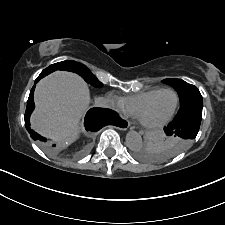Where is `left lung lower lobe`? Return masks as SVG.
<instances>
[{
    "mask_svg": "<svg viewBox=\"0 0 225 225\" xmlns=\"http://www.w3.org/2000/svg\"><path fill=\"white\" fill-rule=\"evenodd\" d=\"M202 119V109H192L180 115L164 128L167 136H178L185 140H193L199 131ZM185 144L175 145L176 150H184Z\"/></svg>",
    "mask_w": 225,
    "mask_h": 225,
    "instance_id": "0a47b994",
    "label": "left lung lower lobe"
}]
</instances>
